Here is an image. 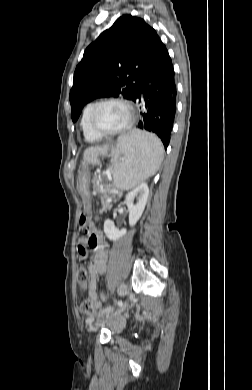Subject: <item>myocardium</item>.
I'll list each match as a JSON object with an SVG mask.
<instances>
[{"label":"myocardium","instance_id":"obj_1","mask_svg":"<svg viewBox=\"0 0 252 390\" xmlns=\"http://www.w3.org/2000/svg\"><path fill=\"white\" fill-rule=\"evenodd\" d=\"M106 103H119V104L124 105L128 109L129 120L123 127L116 129V130H113V131H105V130H102L97 125L96 120H95L97 110L99 109V107L101 105L106 104ZM89 120H90L91 128L95 132L100 134L101 136H105V137L117 136V135H120V134H123V133L129 131L132 128V126L134 125L135 120H136V112H135L134 106L128 100H125L122 98H114V97L106 98V99H102V100H99L96 103H94V105L91 109V112H90Z\"/></svg>","mask_w":252,"mask_h":390}]
</instances>
